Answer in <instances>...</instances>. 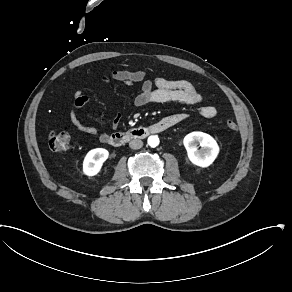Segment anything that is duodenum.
Wrapping results in <instances>:
<instances>
[{
	"instance_id": "410a0bca",
	"label": "duodenum",
	"mask_w": 292,
	"mask_h": 292,
	"mask_svg": "<svg viewBox=\"0 0 292 292\" xmlns=\"http://www.w3.org/2000/svg\"><path fill=\"white\" fill-rule=\"evenodd\" d=\"M161 127L162 126L160 124H154L149 127L135 128V129L127 130V131L118 132V133L110 135L107 141L111 145L115 147H119L129 140L142 139L152 133L163 132L161 131Z\"/></svg>"
}]
</instances>
